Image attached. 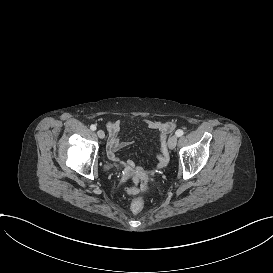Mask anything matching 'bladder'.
<instances>
[{"instance_id":"1","label":"bladder","mask_w":273,"mask_h":273,"mask_svg":"<svg viewBox=\"0 0 273 273\" xmlns=\"http://www.w3.org/2000/svg\"><path fill=\"white\" fill-rule=\"evenodd\" d=\"M105 168H106L107 170H110V169L112 168V165H111V164H106Z\"/></svg>"}]
</instances>
